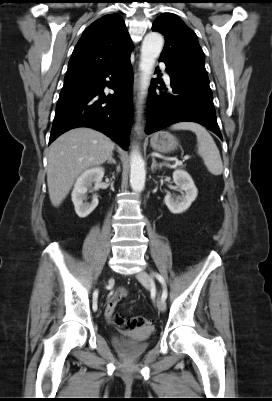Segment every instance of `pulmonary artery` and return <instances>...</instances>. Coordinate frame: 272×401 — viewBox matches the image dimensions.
<instances>
[{"mask_svg":"<svg viewBox=\"0 0 272 401\" xmlns=\"http://www.w3.org/2000/svg\"><path fill=\"white\" fill-rule=\"evenodd\" d=\"M161 67L164 68V67H165L164 64H161ZM164 79H165L167 82L169 81V75H168L166 72H164Z\"/></svg>","mask_w":272,"mask_h":401,"instance_id":"pulmonary-artery-1","label":"pulmonary artery"}]
</instances>
